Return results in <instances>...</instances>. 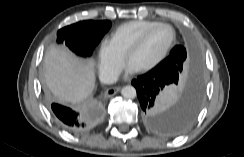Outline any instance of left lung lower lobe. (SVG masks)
I'll return each instance as SVG.
<instances>
[{
    "label": "left lung lower lobe",
    "mask_w": 244,
    "mask_h": 157,
    "mask_svg": "<svg viewBox=\"0 0 244 157\" xmlns=\"http://www.w3.org/2000/svg\"><path fill=\"white\" fill-rule=\"evenodd\" d=\"M178 81L153 69L132 81L147 126L160 135L175 136L185 132L200 111L204 93L200 71L196 69L191 74L177 102L167 103L165 95Z\"/></svg>",
    "instance_id": "0a47b994"
}]
</instances>
